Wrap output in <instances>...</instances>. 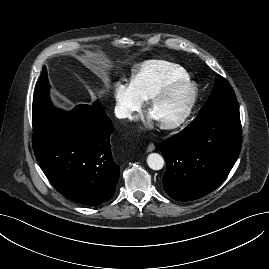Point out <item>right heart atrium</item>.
I'll use <instances>...</instances> for the list:
<instances>
[{
  "instance_id": "d8ad5b80",
  "label": "right heart atrium",
  "mask_w": 269,
  "mask_h": 269,
  "mask_svg": "<svg viewBox=\"0 0 269 269\" xmlns=\"http://www.w3.org/2000/svg\"><path fill=\"white\" fill-rule=\"evenodd\" d=\"M116 115L121 119L132 120L144 107V100L132 83L118 81L113 88Z\"/></svg>"
}]
</instances>
